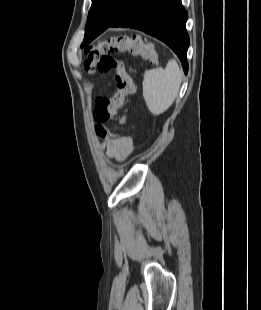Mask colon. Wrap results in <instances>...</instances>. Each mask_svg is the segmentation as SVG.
Here are the masks:
<instances>
[{"mask_svg":"<svg viewBox=\"0 0 261 310\" xmlns=\"http://www.w3.org/2000/svg\"><path fill=\"white\" fill-rule=\"evenodd\" d=\"M84 68L87 71L97 69L100 72H115L117 90L112 97H100L97 99L94 118L96 120L95 132L101 138L117 137L104 124L112 119L121 125L127 123L125 116H118V110L125 100L135 93V85L132 77L125 71L121 60L112 56L113 53H126L132 57L140 56L150 63H156L158 56L151 44H145L137 35H113L101 40L96 46L86 52Z\"/></svg>","mask_w":261,"mask_h":310,"instance_id":"5ec220e1","label":"colon"}]
</instances>
